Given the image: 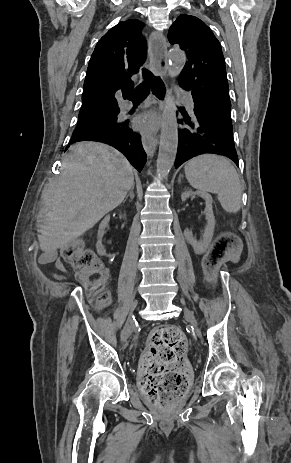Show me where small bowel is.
<instances>
[{"instance_id": "small-bowel-1", "label": "small bowel", "mask_w": 291, "mask_h": 463, "mask_svg": "<svg viewBox=\"0 0 291 463\" xmlns=\"http://www.w3.org/2000/svg\"><path fill=\"white\" fill-rule=\"evenodd\" d=\"M50 260H54L55 266L59 271H61L64 274H68V270H67L65 264L63 263V261L59 257L55 256L54 251L46 250L45 253L39 259L40 263H46V262H48ZM53 277L55 279H58V280H63L65 278L64 275H60V274H57V273H53Z\"/></svg>"}]
</instances>
